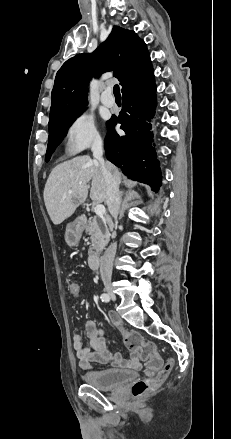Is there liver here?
Wrapping results in <instances>:
<instances>
[{
  "mask_svg": "<svg viewBox=\"0 0 231 439\" xmlns=\"http://www.w3.org/2000/svg\"><path fill=\"white\" fill-rule=\"evenodd\" d=\"M113 174L120 184L121 175L112 165ZM91 181L90 198L96 203L107 204L106 184L103 170L96 159L88 155L78 156L57 165L50 173L44 188V202L54 225L72 216L87 196ZM72 193L69 194L68 191ZM138 197L136 192H133Z\"/></svg>",
  "mask_w": 231,
  "mask_h": 439,
  "instance_id": "6515ba94",
  "label": "liver"
}]
</instances>
